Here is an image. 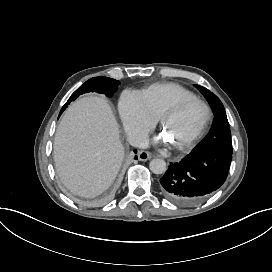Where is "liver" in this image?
Instances as JSON below:
<instances>
[{"instance_id": "obj_1", "label": "liver", "mask_w": 272, "mask_h": 272, "mask_svg": "<svg viewBox=\"0 0 272 272\" xmlns=\"http://www.w3.org/2000/svg\"><path fill=\"white\" fill-rule=\"evenodd\" d=\"M124 150L106 100L86 97L65 112L54 142V160L63 185L76 195L95 197L116 177Z\"/></svg>"}]
</instances>
